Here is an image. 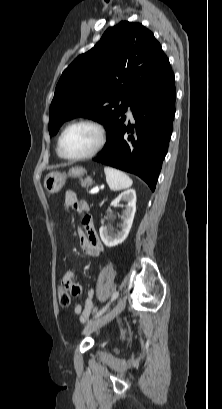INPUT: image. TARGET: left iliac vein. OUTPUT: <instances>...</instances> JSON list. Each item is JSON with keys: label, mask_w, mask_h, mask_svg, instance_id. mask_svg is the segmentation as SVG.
<instances>
[{"label": "left iliac vein", "mask_w": 222, "mask_h": 409, "mask_svg": "<svg viewBox=\"0 0 222 409\" xmlns=\"http://www.w3.org/2000/svg\"><path fill=\"white\" fill-rule=\"evenodd\" d=\"M125 305H126L125 298L124 297L120 298L115 307L111 311L89 323L84 329V333L85 334L91 333L101 328L102 326L106 325L108 322H110L123 311Z\"/></svg>", "instance_id": "left-iliac-vein-1"}]
</instances>
